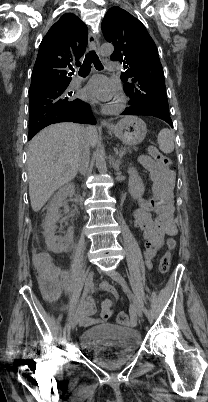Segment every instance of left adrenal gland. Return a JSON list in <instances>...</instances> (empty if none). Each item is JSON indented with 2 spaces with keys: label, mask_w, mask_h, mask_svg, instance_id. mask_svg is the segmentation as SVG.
Returning a JSON list of instances; mask_svg holds the SVG:
<instances>
[{
  "label": "left adrenal gland",
  "mask_w": 208,
  "mask_h": 402,
  "mask_svg": "<svg viewBox=\"0 0 208 402\" xmlns=\"http://www.w3.org/2000/svg\"><path fill=\"white\" fill-rule=\"evenodd\" d=\"M110 164L113 166L114 170H120L119 166L122 164L121 158H119V160H114V158H111Z\"/></svg>",
  "instance_id": "1"
}]
</instances>
